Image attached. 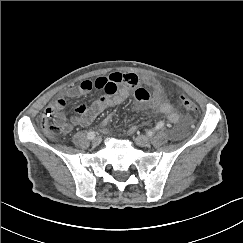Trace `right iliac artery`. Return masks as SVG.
<instances>
[{
  "label": "right iliac artery",
  "instance_id": "right-iliac-artery-1",
  "mask_svg": "<svg viewBox=\"0 0 243 243\" xmlns=\"http://www.w3.org/2000/svg\"><path fill=\"white\" fill-rule=\"evenodd\" d=\"M87 137L89 139H93L95 137V132L94 131H89L88 134H87Z\"/></svg>",
  "mask_w": 243,
  "mask_h": 243
}]
</instances>
